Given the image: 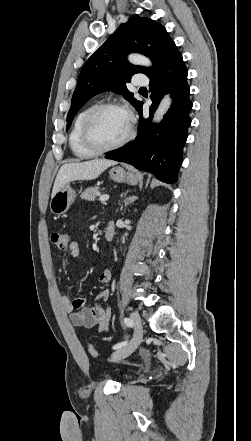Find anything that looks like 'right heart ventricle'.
<instances>
[{"mask_svg":"<svg viewBox=\"0 0 251 441\" xmlns=\"http://www.w3.org/2000/svg\"><path fill=\"white\" fill-rule=\"evenodd\" d=\"M92 107V105L82 109L75 117L70 133H69V146L73 155L79 159H89L92 158L95 153L89 151L85 148L80 139V130L82 120L87 113V111Z\"/></svg>","mask_w":251,"mask_h":441,"instance_id":"1","label":"right heart ventricle"}]
</instances>
